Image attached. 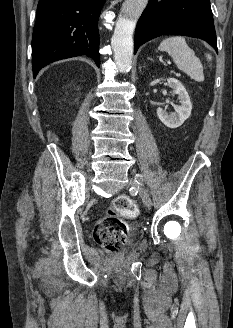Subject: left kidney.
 Masks as SVG:
<instances>
[{
  "mask_svg": "<svg viewBox=\"0 0 233 328\" xmlns=\"http://www.w3.org/2000/svg\"><path fill=\"white\" fill-rule=\"evenodd\" d=\"M160 79H156L150 83L151 86L159 83ZM168 85L173 89L174 94L178 95L179 106H175V112L167 113L162 108L157 109V115L161 122L169 128H177L189 118L192 110L190 97L180 81L175 78L167 79Z\"/></svg>",
  "mask_w": 233,
  "mask_h": 328,
  "instance_id": "1",
  "label": "left kidney"
}]
</instances>
